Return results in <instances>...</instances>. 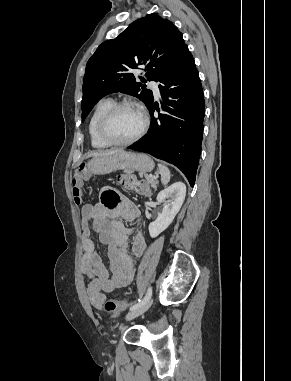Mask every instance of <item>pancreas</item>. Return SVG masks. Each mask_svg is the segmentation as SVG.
<instances>
[{"instance_id":"obj_1","label":"pancreas","mask_w":291,"mask_h":381,"mask_svg":"<svg viewBox=\"0 0 291 381\" xmlns=\"http://www.w3.org/2000/svg\"><path fill=\"white\" fill-rule=\"evenodd\" d=\"M139 175H140V177H145L147 183L150 184L152 187L156 186L157 181L155 180V178H151V177H149L148 174L143 173V172H139Z\"/></svg>"}]
</instances>
